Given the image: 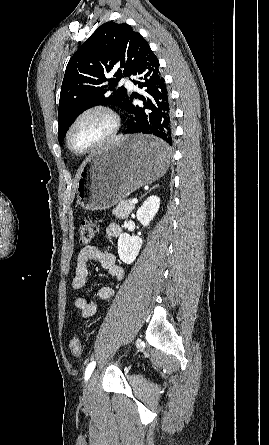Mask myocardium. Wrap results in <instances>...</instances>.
<instances>
[{"mask_svg": "<svg viewBox=\"0 0 269 445\" xmlns=\"http://www.w3.org/2000/svg\"><path fill=\"white\" fill-rule=\"evenodd\" d=\"M92 115H100L104 117L108 124L107 129L101 136H99L85 148L75 149L72 145L73 132L81 121ZM120 127L121 118L111 107L102 104L87 107L80 111L69 124L65 135L66 147L75 156H85L113 139L119 132Z\"/></svg>", "mask_w": 269, "mask_h": 445, "instance_id": "obj_1", "label": "myocardium"}]
</instances>
